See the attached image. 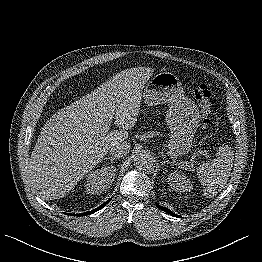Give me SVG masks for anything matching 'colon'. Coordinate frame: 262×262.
<instances>
[{"mask_svg": "<svg viewBox=\"0 0 262 262\" xmlns=\"http://www.w3.org/2000/svg\"><path fill=\"white\" fill-rule=\"evenodd\" d=\"M193 94L199 104L201 124L204 129H207L210 123L211 115V92L204 83L192 85Z\"/></svg>", "mask_w": 262, "mask_h": 262, "instance_id": "1", "label": "colon"}]
</instances>
